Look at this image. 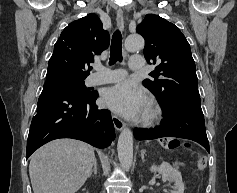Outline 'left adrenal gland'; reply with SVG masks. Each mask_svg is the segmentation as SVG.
Here are the masks:
<instances>
[{"label":"left adrenal gland","mask_w":237,"mask_h":193,"mask_svg":"<svg viewBox=\"0 0 237 193\" xmlns=\"http://www.w3.org/2000/svg\"><path fill=\"white\" fill-rule=\"evenodd\" d=\"M144 154H145V151H142V152H141V158H142V162H145V159H144Z\"/></svg>","instance_id":"1"}]
</instances>
